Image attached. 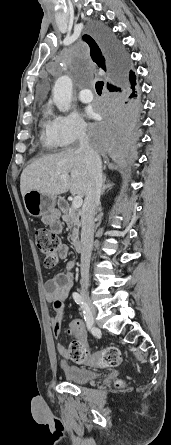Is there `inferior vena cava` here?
Listing matches in <instances>:
<instances>
[{"label":"inferior vena cava","mask_w":171,"mask_h":445,"mask_svg":"<svg viewBox=\"0 0 171 445\" xmlns=\"http://www.w3.org/2000/svg\"><path fill=\"white\" fill-rule=\"evenodd\" d=\"M80 148L84 153L89 183L82 207V230H81V280L82 289L86 290L89 281V267L94 237V217L96 208L100 204L102 190V162L100 156L89 144L88 135L83 129L79 135Z\"/></svg>","instance_id":"602c4592"}]
</instances>
